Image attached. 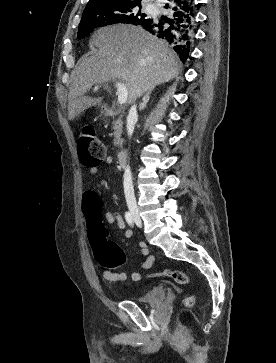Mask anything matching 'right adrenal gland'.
Returning a JSON list of instances; mask_svg holds the SVG:
<instances>
[{
    "label": "right adrenal gland",
    "mask_w": 276,
    "mask_h": 363,
    "mask_svg": "<svg viewBox=\"0 0 276 363\" xmlns=\"http://www.w3.org/2000/svg\"><path fill=\"white\" fill-rule=\"evenodd\" d=\"M153 90H148L146 91L144 97H143V102L141 103L140 107H139V111H142L146 108L147 103L150 100V94L152 93Z\"/></svg>",
    "instance_id": "1"
}]
</instances>
